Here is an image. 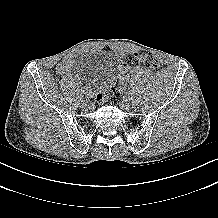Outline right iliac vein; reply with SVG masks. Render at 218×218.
I'll return each instance as SVG.
<instances>
[{"mask_svg":"<svg viewBox=\"0 0 218 218\" xmlns=\"http://www.w3.org/2000/svg\"><path fill=\"white\" fill-rule=\"evenodd\" d=\"M82 109L88 110L90 108V104L87 102V98H82Z\"/></svg>","mask_w":218,"mask_h":218,"instance_id":"63e3f726","label":"right iliac vein"}]
</instances>
